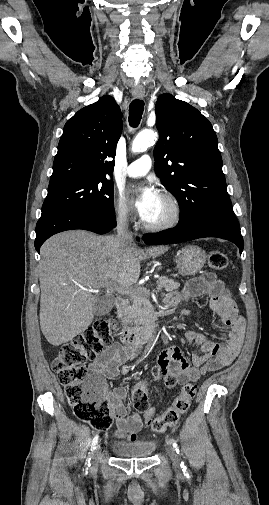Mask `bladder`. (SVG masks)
I'll return each mask as SVG.
<instances>
[{"instance_id": "obj_1", "label": "bladder", "mask_w": 269, "mask_h": 505, "mask_svg": "<svg viewBox=\"0 0 269 505\" xmlns=\"http://www.w3.org/2000/svg\"><path fill=\"white\" fill-rule=\"evenodd\" d=\"M111 448L117 456L122 458H146L154 453L156 443L154 441H114Z\"/></svg>"}]
</instances>
